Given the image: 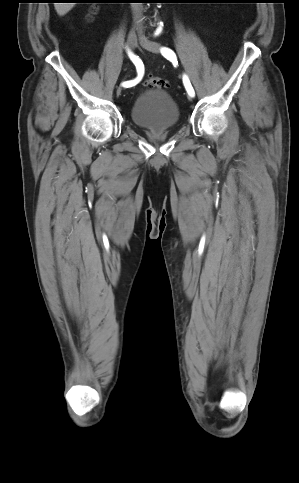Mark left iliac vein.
<instances>
[{"label":"left iliac vein","instance_id":"left-iliac-vein-1","mask_svg":"<svg viewBox=\"0 0 299 483\" xmlns=\"http://www.w3.org/2000/svg\"><path fill=\"white\" fill-rule=\"evenodd\" d=\"M140 44H141L142 47H144L148 51H151L153 53H159L160 52V48H161L160 44L153 42V41H149L143 36L140 37Z\"/></svg>","mask_w":299,"mask_h":483}]
</instances>
